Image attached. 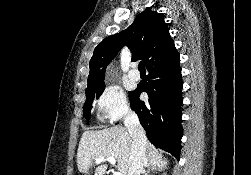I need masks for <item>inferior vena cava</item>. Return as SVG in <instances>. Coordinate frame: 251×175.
<instances>
[{"instance_id":"obj_1","label":"inferior vena cava","mask_w":251,"mask_h":175,"mask_svg":"<svg viewBox=\"0 0 251 175\" xmlns=\"http://www.w3.org/2000/svg\"><path fill=\"white\" fill-rule=\"evenodd\" d=\"M124 125L127 127L132 137V151L130 155V167L127 175H140L147 165L146 143L147 137L145 131L138 119L137 113L128 109L124 117Z\"/></svg>"}]
</instances>
